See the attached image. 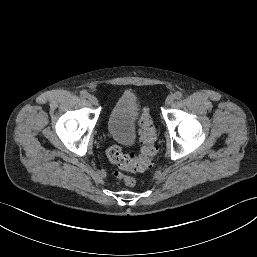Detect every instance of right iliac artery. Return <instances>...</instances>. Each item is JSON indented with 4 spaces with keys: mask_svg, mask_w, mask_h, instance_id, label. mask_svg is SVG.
Returning <instances> with one entry per match:
<instances>
[{
    "mask_svg": "<svg viewBox=\"0 0 257 257\" xmlns=\"http://www.w3.org/2000/svg\"><path fill=\"white\" fill-rule=\"evenodd\" d=\"M80 95L83 97V98H87L89 96V93L86 91V90H82L80 92Z\"/></svg>",
    "mask_w": 257,
    "mask_h": 257,
    "instance_id": "obj_1",
    "label": "right iliac artery"
}]
</instances>
